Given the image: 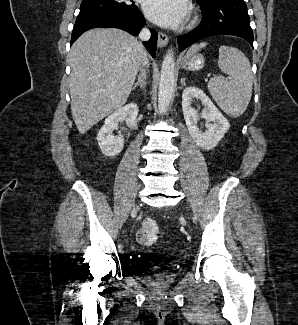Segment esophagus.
Here are the masks:
<instances>
[{"instance_id":"34e87169","label":"esophagus","mask_w":298,"mask_h":325,"mask_svg":"<svg viewBox=\"0 0 298 325\" xmlns=\"http://www.w3.org/2000/svg\"><path fill=\"white\" fill-rule=\"evenodd\" d=\"M168 41L169 39L167 35H165V33H161V32L158 33V42H157L158 47L160 48L166 47L168 45Z\"/></svg>"}]
</instances>
